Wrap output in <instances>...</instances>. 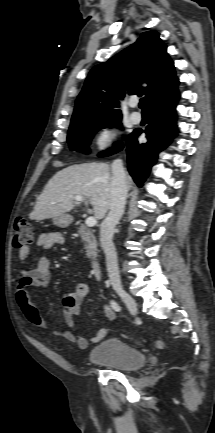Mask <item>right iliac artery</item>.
Listing matches in <instances>:
<instances>
[{
	"label": "right iliac artery",
	"instance_id": "82829eb1",
	"mask_svg": "<svg viewBox=\"0 0 215 433\" xmlns=\"http://www.w3.org/2000/svg\"><path fill=\"white\" fill-rule=\"evenodd\" d=\"M111 307L115 310V311H120L121 307L119 306L118 303H116L115 301H111Z\"/></svg>",
	"mask_w": 215,
	"mask_h": 433
}]
</instances>
